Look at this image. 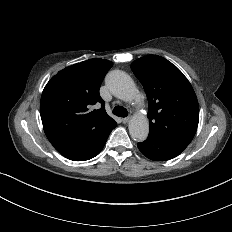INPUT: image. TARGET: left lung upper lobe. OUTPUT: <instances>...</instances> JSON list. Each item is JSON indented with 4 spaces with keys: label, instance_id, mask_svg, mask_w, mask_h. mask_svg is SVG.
<instances>
[{
    "label": "left lung upper lobe",
    "instance_id": "1",
    "mask_svg": "<svg viewBox=\"0 0 232 232\" xmlns=\"http://www.w3.org/2000/svg\"><path fill=\"white\" fill-rule=\"evenodd\" d=\"M131 69L148 98L149 135L186 148L199 122L196 94L184 74L158 55L135 60Z\"/></svg>",
    "mask_w": 232,
    "mask_h": 232
}]
</instances>
